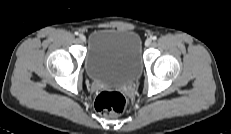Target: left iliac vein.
<instances>
[{
	"label": "left iliac vein",
	"instance_id": "1",
	"mask_svg": "<svg viewBox=\"0 0 231 134\" xmlns=\"http://www.w3.org/2000/svg\"><path fill=\"white\" fill-rule=\"evenodd\" d=\"M151 43H152V39L151 38L146 39V41H145V45L146 46H150Z\"/></svg>",
	"mask_w": 231,
	"mask_h": 134
}]
</instances>
